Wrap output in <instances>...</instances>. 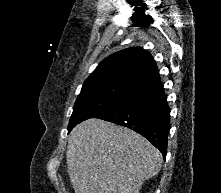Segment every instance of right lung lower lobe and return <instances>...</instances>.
<instances>
[{
    "label": "right lung lower lobe",
    "mask_w": 221,
    "mask_h": 193,
    "mask_svg": "<svg viewBox=\"0 0 221 193\" xmlns=\"http://www.w3.org/2000/svg\"><path fill=\"white\" fill-rule=\"evenodd\" d=\"M95 118L128 127L148 139L166 158L170 108L160 80L145 87L131 100Z\"/></svg>",
    "instance_id": "98d812e1"
}]
</instances>
